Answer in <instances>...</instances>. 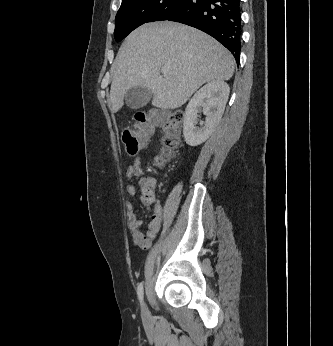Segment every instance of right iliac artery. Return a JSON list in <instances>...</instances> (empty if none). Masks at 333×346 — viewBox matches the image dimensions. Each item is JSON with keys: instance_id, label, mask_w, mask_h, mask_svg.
I'll list each match as a JSON object with an SVG mask.
<instances>
[{"instance_id": "1", "label": "right iliac artery", "mask_w": 333, "mask_h": 346, "mask_svg": "<svg viewBox=\"0 0 333 346\" xmlns=\"http://www.w3.org/2000/svg\"><path fill=\"white\" fill-rule=\"evenodd\" d=\"M137 294H138V298H139L140 302H142V300H143V295H144L143 283H140V284L138 285Z\"/></svg>"}]
</instances>
